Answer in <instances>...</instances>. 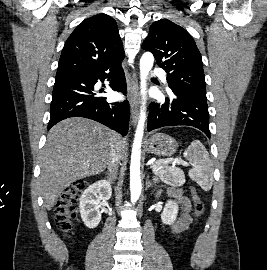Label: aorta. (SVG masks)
I'll return each mask as SVG.
<instances>
[{
  "label": "aorta",
  "instance_id": "1",
  "mask_svg": "<svg viewBox=\"0 0 267 270\" xmlns=\"http://www.w3.org/2000/svg\"><path fill=\"white\" fill-rule=\"evenodd\" d=\"M153 63H154L153 54L150 52H145L140 59V80H141L140 85H141V94L143 95V102L140 109L139 121L135 132L130 163V191L132 203L138 201L142 190L141 176H140V160H141V144L144 134V124L146 118L145 95L147 87V78L150 70L153 67Z\"/></svg>",
  "mask_w": 267,
  "mask_h": 270
}]
</instances>
